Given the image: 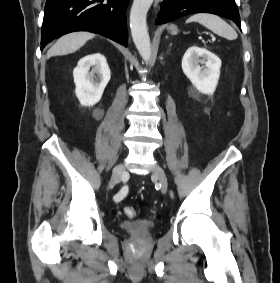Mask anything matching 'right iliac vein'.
Instances as JSON below:
<instances>
[{"label":"right iliac vein","instance_id":"obj_1","mask_svg":"<svg viewBox=\"0 0 280 283\" xmlns=\"http://www.w3.org/2000/svg\"><path fill=\"white\" fill-rule=\"evenodd\" d=\"M124 172H125V168L122 164L117 165L113 169L112 177H111L110 183L108 185L109 189L113 188L120 181Z\"/></svg>","mask_w":280,"mask_h":283}]
</instances>
